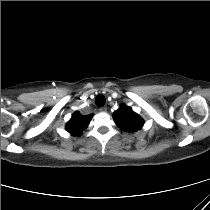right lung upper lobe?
Returning a JSON list of instances; mask_svg holds the SVG:
<instances>
[{"label": "right lung upper lobe", "instance_id": "1", "mask_svg": "<svg viewBox=\"0 0 210 210\" xmlns=\"http://www.w3.org/2000/svg\"><path fill=\"white\" fill-rule=\"evenodd\" d=\"M92 115L83 116L79 112H75L67 124V131L74 136L82 134L83 130L88 126Z\"/></svg>", "mask_w": 210, "mask_h": 210}]
</instances>
